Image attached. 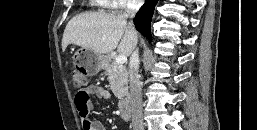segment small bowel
Wrapping results in <instances>:
<instances>
[{
	"label": "small bowel",
	"mask_w": 257,
	"mask_h": 130,
	"mask_svg": "<svg viewBox=\"0 0 257 130\" xmlns=\"http://www.w3.org/2000/svg\"><path fill=\"white\" fill-rule=\"evenodd\" d=\"M92 97L109 99L110 93L100 85H90L78 91L75 95L74 103L79 117L81 118L83 130H106L100 120L88 118L92 108Z\"/></svg>",
	"instance_id": "c3829d8e"
}]
</instances>
